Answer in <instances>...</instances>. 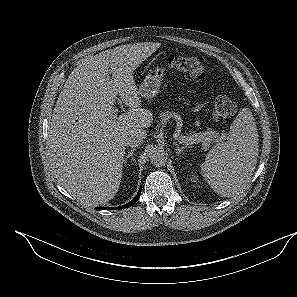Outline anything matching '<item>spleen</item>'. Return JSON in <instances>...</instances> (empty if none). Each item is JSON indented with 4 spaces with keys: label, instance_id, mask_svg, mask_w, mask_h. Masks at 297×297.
Segmentation results:
<instances>
[{
    "label": "spleen",
    "instance_id": "obj_1",
    "mask_svg": "<svg viewBox=\"0 0 297 297\" xmlns=\"http://www.w3.org/2000/svg\"><path fill=\"white\" fill-rule=\"evenodd\" d=\"M259 135L252 112L243 108L230 126L227 141L207 153L200 172L222 197L241 193L253 175L259 151Z\"/></svg>",
    "mask_w": 297,
    "mask_h": 297
}]
</instances>
